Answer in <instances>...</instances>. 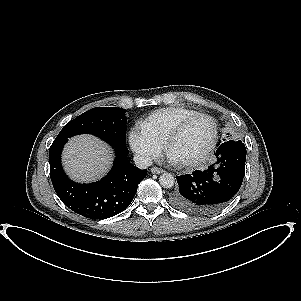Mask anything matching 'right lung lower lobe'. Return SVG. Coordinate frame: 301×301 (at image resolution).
I'll return each mask as SVG.
<instances>
[{"instance_id":"obj_1","label":"right lung lower lobe","mask_w":301,"mask_h":301,"mask_svg":"<svg viewBox=\"0 0 301 301\" xmlns=\"http://www.w3.org/2000/svg\"><path fill=\"white\" fill-rule=\"evenodd\" d=\"M67 140L55 139L49 150L50 177L60 200L72 211L90 219H106L124 211L132 202L147 170L128 161L129 151L125 144L103 139L116 152L112 169L98 182L75 183L66 176L61 165V152Z\"/></svg>"}]
</instances>
